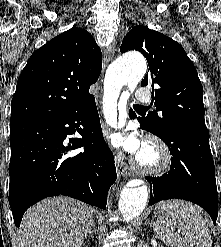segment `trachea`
I'll list each match as a JSON object with an SVG mask.
<instances>
[{
    "label": "trachea",
    "mask_w": 221,
    "mask_h": 247,
    "mask_svg": "<svg viewBox=\"0 0 221 247\" xmlns=\"http://www.w3.org/2000/svg\"><path fill=\"white\" fill-rule=\"evenodd\" d=\"M134 109H148L147 106H143V105H133Z\"/></svg>",
    "instance_id": "1"
}]
</instances>
